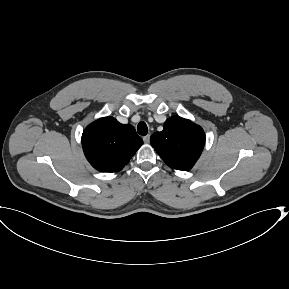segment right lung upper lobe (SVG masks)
<instances>
[{"instance_id": "cb5924a9", "label": "right lung upper lobe", "mask_w": 289, "mask_h": 289, "mask_svg": "<svg viewBox=\"0 0 289 289\" xmlns=\"http://www.w3.org/2000/svg\"><path fill=\"white\" fill-rule=\"evenodd\" d=\"M143 144L132 125L113 117L100 118L86 127L82 147L90 164L101 172H117Z\"/></svg>"}]
</instances>
